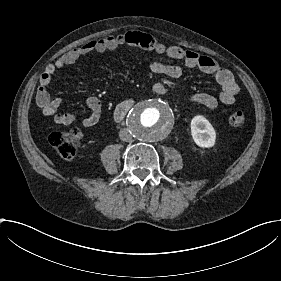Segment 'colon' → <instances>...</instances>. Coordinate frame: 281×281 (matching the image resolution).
Returning a JSON list of instances; mask_svg holds the SVG:
<instances>
[{
  "label": "colon",
  "instance_id": "obj_1",
  "mask_svg": "<svg viewBox=\"0 0 281 281\" xmlns=\"http://www.w3.org/2000/svg\"><path fill=\"white\" fill-rule=\"evenodd\" d=\"M245 121L244 112L234 110L230 115V122L233 126H242ZM80 136L71 130L57 131L50 137V144L58 151L60 156L65 159H73L76 156L77 145Z\"/></svg>",
  "mask_w": 281,
  "mask_h": 281
}]
</instances>
